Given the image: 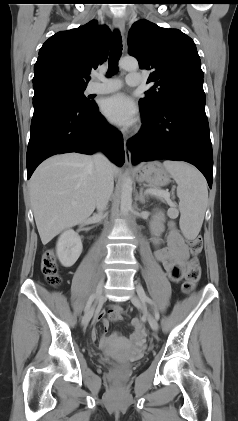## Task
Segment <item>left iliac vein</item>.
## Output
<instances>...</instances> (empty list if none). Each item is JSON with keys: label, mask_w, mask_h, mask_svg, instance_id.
<instances>
[{"label": "left iliac vein", "mask_w": 238, "mask_h": 421, "mask_svg": "<svg viewBox=\"0 0 238 421\" xmlns=\"http://www.w3.org/2000/svg\"><path fill=\"white\" fill-rule=\"evenodd\" d=\"M131 302L136 306V307H139V308H142L143 309V305H142V302H141V300L136 296V295H132V297H131ZM146 315H147V319H148V322H149V325H150V327H151V329L153 330V331H157L158 330V322H157V320H156V318H154L150 313H148V312H146Z\"/></svg>", "instance_id": "1"}]
</instances>
